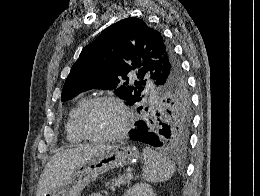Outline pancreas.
Here are the masks:
<instances>
[{
  "mask_svg": "<svg viewBox=\"0 0 260 196\" xmlns=\"http://www.w3.org/2000/svg\"><path fill=\"white\" fill-rule=\"evenodd\" d=\"M125 184H129V180H126V176H118V178H113L112 182H107L106 186H108L109 190L115 192L116 188L125 186Z\"/></svg>",
  "mask_w": 260,
  "mask_h": 196,
  "instance_id": "1",
  "label": "pancreas"
}]
</instances>
